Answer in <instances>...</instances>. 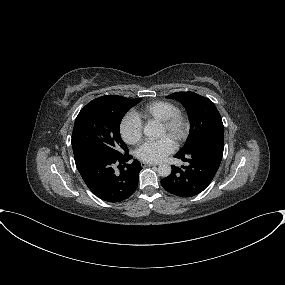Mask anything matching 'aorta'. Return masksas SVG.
<instances>
[{
  "label": "aorta",
  "instance_id": "obj_1",
  "mask_svg": "<svg viewBox=\"0 0 285 285\" xmlns=\"http://www.w3.org/2000/svg\"><path fill=\"white\" fill-rule=\"evenodd\" d=\"M144 134L147 137H156L157 135H159V132L155 126L148 124L144 127ZM157 171L160 176L168 177L171 174L172 169L171 166L168 164H161L159 165Z\"/></svg>",
  "mask_w": 285,
  "mask_h": 285
}]
</instances>
